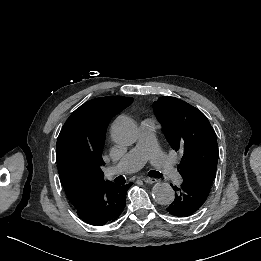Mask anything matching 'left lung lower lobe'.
<instances>
[{
	"label": "left lung lower lobe",
	"instance_id": "left-lung-lower-lobe-1",
	"mask_svg": "<svg viewBox=\"0 0 261 261\" xmlns=\"http://www.w3.org/2000/svg\"><path fill=\"white\" fill-rule=\"evenodd\" d=\"M175 201H173L167 211L177 217H187L195 213L206 201L209 188L201 183L183 178L181 186L174 187Z\"/></svg>",
	"mask_w": 261,
	"mask_h": 261
}]
</instances>
